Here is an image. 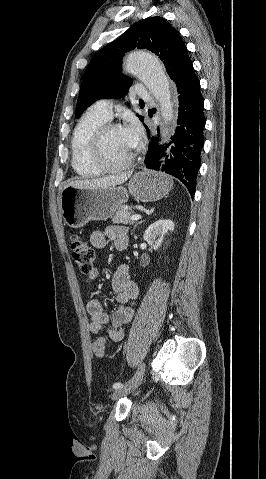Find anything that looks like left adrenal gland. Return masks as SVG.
Masks as SVG:
<instances>
[{"instance_id":"left-adrenal-gland-1","label":"left adrenal gland","mask_w":266,"mask_h":479,"mask_svg":"<svg viewBox=\"0 0 266 479\" xmlns=\"http://www.w3.org/2000/svg\"><path fill=\"white\" fill-rule=\"evenodd\" d=\"M144 221H145V220H141L140 222H138L137 224H135V226H134V228H133V231L135 230V228H136L139 224H141V223L144 222ZM133 231H132V232H133Z\"/></svg>"}]
</instances>
